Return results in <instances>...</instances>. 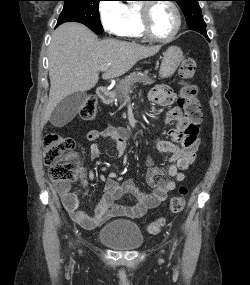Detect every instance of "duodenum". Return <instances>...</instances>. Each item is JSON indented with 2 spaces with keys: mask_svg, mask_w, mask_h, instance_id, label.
I'll return each mask as SVG.
<instances>
[{
  "mask_svg": "<svg viewBox=\"0 0 250 285\" xmlns=\"http://www.w3.org/2000/svg\"><path fill=\"white\" fill-rule=\"evenodd\" d=\"M97 96L103 103H108L111 99L109 90L103 86L97 88Z\"/></svg>",
  "mask_w": 250,
  "mask_h": 285,
  "instance_id": "410a0bca",
  "label": "duodenum"
}]
</instances>
